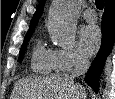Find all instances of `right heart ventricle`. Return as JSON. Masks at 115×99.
Instances as JSON below:
<instances>
[{
    "label": "right heart ventricle",
    "instance_id": "e07e8e85",
    "mask_svg": "<svg viewBox=\"0 0 115 99\" xmlns=\"http://www.w3.org/2000/svg\"><path fill=\"white\" fill-rule=\"evenodd\" d=\"M31 68L40 74H50L56 71L53 51L46 49L40 43L36 44L32 53Z\"/></svg>",
    "mask_w": 115,
    "mask_h": 99
}]
</instances>
